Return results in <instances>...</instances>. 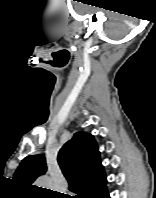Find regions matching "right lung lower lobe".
Listing matches in <instances>:
<instances>
[{"label":"right lung lower lobe","instance_id":"1","mask_svg":"<svg viewBox=\"0 0 156 198\" xmlns=\"http://www.w3.org/2000/svg\"><path fill=\"white\" fill-rule=\"evenodd\" d=\"M94 198H110V197H109V194L105 188L100 193H98L96 196H94Z\"/></svg>","mask_w":156,"mask_h":198}]
</instances>
